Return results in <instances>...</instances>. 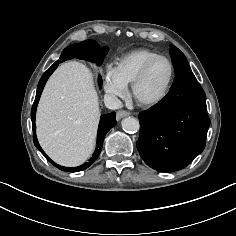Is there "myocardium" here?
<instances>
[{
  "instance_id": "myocardium-1",
  "label": "myocardium",
  "mask_w": 236,
  "mask_h": 236,
  "mask_svg": "<svg viewBox=\"0 0 236 236\" xmlns=\"http://www.w3.org/2000/svg\"><path fill=\"white\" fill-rule=\"evenodd\" d=\"M159 60H166L170 66V77H169L168 83H167L164 91L158 97L153 98V99L141 98L138 94V88H139L140 84L142 83V81L144 80L145 76L147 75L149 69L152 67V65L154 63H156ZM174 79H175V67H174L172 60L167 56L157 55L154 58L148 60L143 65V67L140 69L138 74L135 76L134 80L131 83L132 96L135 99V101L141 106H144V107L156 106V105L162 103L168 97V95L172 89Z\"/></svg>"
}]
</instances>
